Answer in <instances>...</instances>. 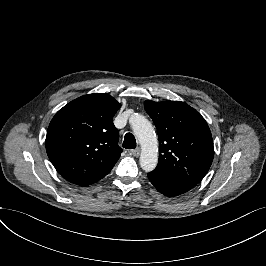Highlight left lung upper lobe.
<instances>
[{
  "mask_svg": "<svg viewBox=\"0 0 266 266\" xmlns=\"http://www.w3.org/2000/svg\"><path fill=\"white\" fill-rule=\"evenodd\" d=\"M159 138V162L154 171L195 186L214 157L210 129L203 117L184 102L146 100Z\"/></svg>",
  "mask_w": 266,
  "mask_h": 266,
  "instance_id": "obj_1",
  "label": "left lung upper lobe"
}]
</instances>
